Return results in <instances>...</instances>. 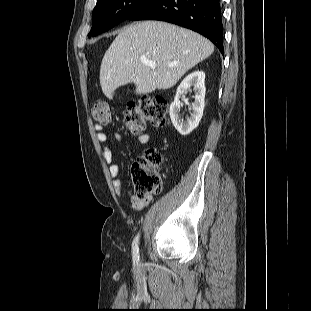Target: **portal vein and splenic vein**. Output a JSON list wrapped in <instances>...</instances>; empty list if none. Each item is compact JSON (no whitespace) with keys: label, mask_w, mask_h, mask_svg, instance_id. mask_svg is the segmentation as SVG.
I'll use <instances>...</instances> for the list:
<instances>
[{"label":"portal vein and splenic vein","mask_w":311,"mask_h":311,"mask_svg":"<svg viewBox=\"0 0 311 311\" xmlns=\"http://www.w3.org/2000/svg\"><path fill=\"white\" fill-rule=\"evenodd\" d=\"M141 61H142L143 64L149 66L152 69L156 68V63L153 62V61H150V60H148L146 58H143ZM173 66H174L173 64L169 65V67H173Z\"/></svg>","instance_id":"18ae733b"}]
</instances>
